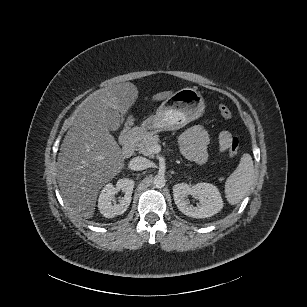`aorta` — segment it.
I'll use <instances>...</instances> for the list:
<instances>
[{"label": "aorta", "mask_w": 307, "mask_h": 307, "mask_svg": "<svg viewBox=\"0 0 307 307\" xmlns=\"http://www.w3.org/2000/svg\"><path fill=\"white\" fill-rule=\"evenodd\" d=\"M153 183L156 188H163L166 183V179L163 175H156L153 178Z\"/></svg>", "instance_id": "762f6f07"}]
</instances>
